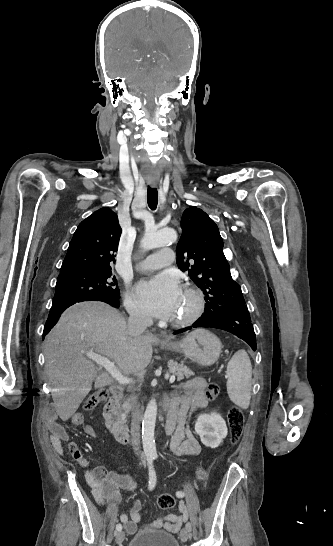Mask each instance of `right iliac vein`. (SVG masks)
I'll list each match as a JSON object with an SVG mask.
<instances>
[{"label":"right iliac vein","instance_id":"63e3f726","mask_svg":"<svg viewBox=\"0 0 333 546\" xmlns=\"http://www.w3.org/2000/svg\"><path fill=\"white\" fill-rule=\"evenodd\" d=\"M125 538V533L124 531H118L116 534H115V540H116V543L120 544L123 542Z\"/></svg>","mask_w":333,"mask_h":546}]
</instances>
